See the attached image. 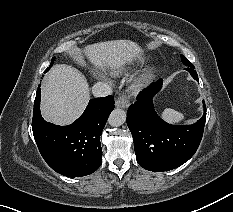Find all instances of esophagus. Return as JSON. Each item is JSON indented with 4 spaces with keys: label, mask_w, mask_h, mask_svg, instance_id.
Listing matches in <instances>:
<instances>
[{
    "label": "esophagus",
    "mask_w": 233,
    "mask_h": 212,
    "mask_svg": "<svg viewBox=\"0 0 233 212\" xmlns=\"http://www.w3.org/2000/svg\"><path fill=\"white\" fill-rule=\"evenodd\" d=\"M115 106L117 108L127 109L129 107L128 96L125 95L124 93L120 94L117 100L115 101Z\"/></svg>",
    "instance_id": "esophagus-1"
}]
</instances>
